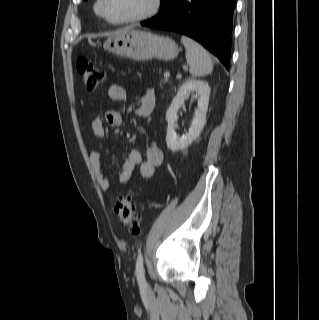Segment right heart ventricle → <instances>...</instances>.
I'll return each instance as SVG.
<instances>
[{
	"label": "right heart ventricle",
	"mask_w": 319,
	"mask_h": 320,
	"mask_svg": "<svg viewBox=\"0 0 319 320\" xmlns=\"http://www.w3.org/2000/svg\"><path fill=\"white\" fill-rule=\"evenodd\" d=\"M95 12L97 15L101 16L99 13V1L97 0L94 6Z\"/></svg>",
	"instance_id": "obj_1"
}]
</instances>
